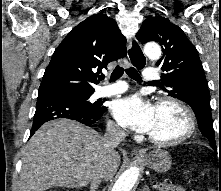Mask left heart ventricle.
Here are the masks:
<instances>
[{"label":"left heart ventricle","instance_id":"obj_1","mask_svg":"<svg viewBox=\"0 0 221 191\" xmlns=\"http://www.w3.org/2000/svg\"><path fill=\"white\" fill-rule=\"evenodd\" d=\"M185 127L183 114L171 105L157 108V119L150 135L160 139H170L180 135Z\"/></svg>","mask_w":221,"mask_h":191}]
</instances>
